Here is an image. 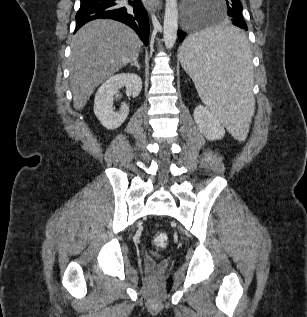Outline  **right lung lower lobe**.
<instances>
[{
    "instance_id": "obj_1",
    "label": "right lung lower lobe",
    "mask_w": 307,
    "mask_h": 317,
    "mask_svg": "<svg viewBox=\"0 0 307 317\" xmlns=\"http://www.w3.org/2000/svg\"><path fill=\"white\" fill-rule=\"evenodd\" d=\"M81 5L76 14V29L87 22L105 18L113 19L130 26L140 37L145 46L149 41V21L147 12L140 0H128L133 9L121 6L116 0H80Z\"/></svg>"
}]
</instances>
